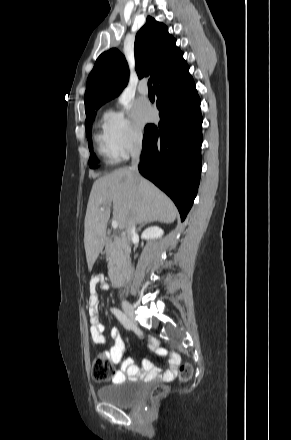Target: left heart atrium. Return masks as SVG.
Wrapping results in <instances>:
<instances>
[{
  "instance_id": "obj_1",
  "label": "left heart atrium",
  "mask_w": 291,
  "mask_h": 440,
  "mask_svg": "<svg viewBox=\"0 0 291 440\" xmlns=\"http://www.w3.org/2000/svg\"><path fill=\"white\" fill-rule=\"evenodd\" d=\"M133 118L138 125H143L153 117V111L150 106L143 102H138L133 108Z\"/></svg>"
}]
</instances>
